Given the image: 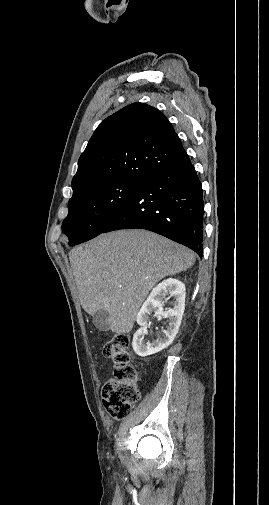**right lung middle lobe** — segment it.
I'll return each instance as SVG.
<instances>
[{"label":"right lung middle lobe","mask_w":269,"mask_h":505,"mask_svg":"<svg viewBox=\"0 0 269 505\" xmlns=\"http://www.w3.org/2000/svg\"><path fill=\"white\" fill-rule=\"evenodd\" d=\"M140 185L138 182H108L72 196L68 216L62 224L69 244H80L101 234Z\"/></svg>","instance_id":"dd1d6c3e"}]
</instances>
